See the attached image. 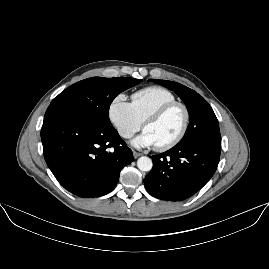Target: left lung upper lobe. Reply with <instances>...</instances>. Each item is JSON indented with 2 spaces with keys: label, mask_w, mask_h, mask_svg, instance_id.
<instances>
[{
  "label": "left lung upper lobe",
  "mask_w": 269,
  "mask_h": 269,
  "mask_svg": "<svg viewBox=\"0 0 269 269\" xmlns=\"http://www.w3.org/2000/svg\"><path fill=\"white\" fill-rule=\"evenodd\" d=\"M150 82L160 84L173 90L185 103L189 112V125L179 145H190L199 141L221 143L218 120L207 101L194 90L182 84L150 79Z\"/></svg>",
  "instance_id": "1"
}]
</instances>
